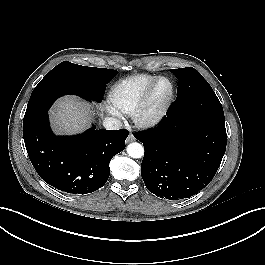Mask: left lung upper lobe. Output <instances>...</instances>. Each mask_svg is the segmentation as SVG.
<instances>
[{"instance_id":"left-lung-upper-lobe-1","label":"left lung upper lobe","mask_w":265,"mask_h":265,"mask_svg":"<svg viewBox=\"0 0 265 265\" xmlns=\"http://www.w3.org/2000/svg\"><path fill=\"white\" fill-rule=\"evenodd\" d=\"M179 79L177 99L170 114H198L224 120L222 105L208 82L194 68L170 70Z\"/></svg>"}]
</instances>
